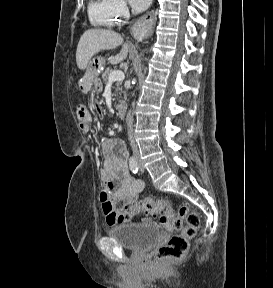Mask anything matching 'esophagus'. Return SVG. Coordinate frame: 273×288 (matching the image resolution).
Listing matches in <instances>:
<instances>
[{"label": "esophagus", "instance_id": "34e87169", "mask_svg": "<svg viewBox=\"0 0 273 288\" xmlns=\"http://www.w3.org/2000/svg\"><path fill=\"white\" fill-rule=\"evenodd\" d=\"M155 22V13L154 10H151L137 20L136 24L132 27V34L136 39H139L147 33H152Z\"/></svg>", "mask_w": 273, "mask_h": 288}]
</instances>
